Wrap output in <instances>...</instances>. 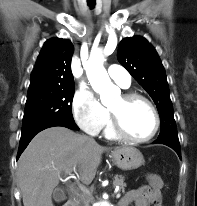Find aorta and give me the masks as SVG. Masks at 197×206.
I'll use <instances>...</instances> for the list:
<instances>
[{
    "label": "aorta",
    "instance_id": "aorta-1",
    "mask_svg": "<svg viewBox=\"0 0 197 206\" xmlns=\"http://www.w3.org/2000/svg\"><path fill=\"white\" fill-rule=\"evenodd\" d=\"M104 57L101 49L93 51L89 60L84 64V69L88 80L97 93L100 94V99L103 104H107L111 97L112 90L115 86L103 66ZM96 206H112L107 200H102L96 203Z\"/></svg>",
    "mask_w": 197,
    "mask_h": 206
}]
</instances>
